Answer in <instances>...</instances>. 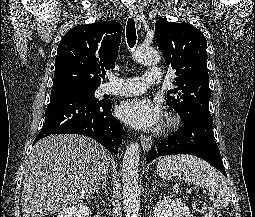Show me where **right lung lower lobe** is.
<instances>
[{
	"mask_svg": "<svg viewBox=\"0 0 255 217\" xmlns=\"http://www.w3.org/2000/svg\"><path fill=\"white\" fill-rule=\"evenodd\" d=\"M110 101H93L70 92L51 93L45 123L33 144L51 134H80L117 152L123 127L111 113Z\"/></svg>",
	"mask_w": 255,
	"mask_h": 217,
	"instance_id": "right-lung-lower-lobe-1",
	"label": "right lung lower lobe"
}]
</instances>
